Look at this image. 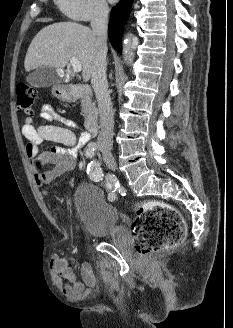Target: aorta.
Returning <instances> with one entry per match:
<instances>
[{
    "label": "aorta",
    "mask_w": 233,
    "mask_h": 328,
    "mask_svg": "<svg viewBox=\"0 0 233 328\" xmlns=\"http://www.w3.org/2000/svg\"><path fill=\"white\" fill-rule=\"evenodd\" d=\"M137 45H138V39L133 38L132 48L134 49ZM130 49H131V37L129 34H127L123 40V55L125 60L127 58H129L130 61L132 60L133 53L130 52Z\"/></svg>",
    "instance_id": "obj_1"
}]
</instances>
